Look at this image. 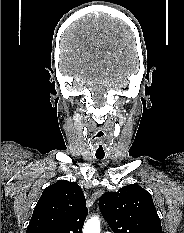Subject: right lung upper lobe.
<instances>
[{"mask_svg": "<svg viewBox=\"0 0 184 233\" xmlns=\"http://www.w3.org/2000/svg\"><path fill=\"white\" fill-rule=\"evenodd\" d=\"M86 216L85 197L79 185L60 180L43 191L27 233H81Z\"/></svg>", "mask_w": 184, "mask_h": 233, "instance_id": "obj_1", "label": "right lung upper lobe"}]
</instances>
